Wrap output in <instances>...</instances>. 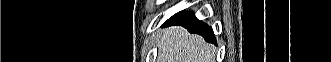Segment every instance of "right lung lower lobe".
I'll return each mask as SVG.
<instances>
[{"label":"right lung lower lobe","mask_w":331,"mask_h":62,"mask_svg":"<svg viewBox=\"0 0 331 62\" xmlns=\"http://www.w3.org/2000/svg\"><path fill=\"white\" fill-rule=\"evenodd\" d=\"M165 24L182 25L190 33H196L204 37L209 43H216L212 29L205 23L199 21L192 12H179L171 17Z\"/></svg>","instance_id":"right-lung-lower-lobe-1"}]
</instances>
